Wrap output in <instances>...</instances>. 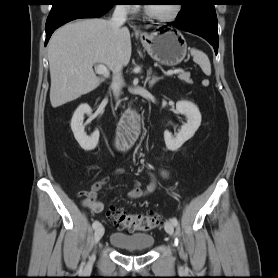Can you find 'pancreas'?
<instances>
[{
  "label": "pancreas",
  "mask_w": 278,
  "mask_h": 278,
  "mask_svg": "<svg viewBox=\"0 0 278 278\" xmlns=\"http://www.w3.org/2000/svg\"><path fill=\"white\" fill-rule=\"evenodd\" d=\"M178 78L185 81L186 83H192V80L190 79V73H181L178 75Z\"/></svg>",
  "instance_id": "obj_1"
}]
</instances>
